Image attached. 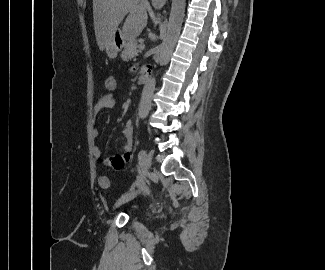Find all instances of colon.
I'll list each match as a JSON object with an SVG mask.
<instances>
[{"instance_id": "obj_1", "label": "colon", "mask_w": 325, "mask_h": 270, "mask_svg": "<svg viewBox=\"0 0 325 270\" xmlns=\"http://www.w3.org/2000/svg\"><path fill=\"white\" fill-rule=\"evenodd\" d=\"M117 88V80L114 76L109 75L104 80V89L108 94H113ZM99 185L103 189H108L110 187V181L107 177L103 176L99 179Z\"/></svg>"}]
</instances>
